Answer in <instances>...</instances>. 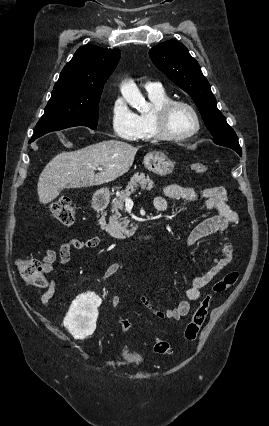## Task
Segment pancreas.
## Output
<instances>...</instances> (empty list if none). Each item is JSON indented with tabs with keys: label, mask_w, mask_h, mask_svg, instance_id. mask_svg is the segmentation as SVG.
Here are the masks:
<instances>
[{
	"label": "pancreas",
	"mask_w": 269,
	"mask_h": 426,
	"mask_svg": "<svg viewBox=\"0 0 269 426\" xmlns=\"http://www.w3.org/2000/svg\"><path fill=\"white\" fill-rule=\"evenodd\" d=\"M140 186L143 190H151L154 186L153 181L149 176L145 177L144 173L135 174L130 179L125 190L122 191L116 198L112 201V216L109 219V223L106 226V231L115 238L124 239L126 237H131L135 233V226L130 225V220L128 217H122V211H125V198L131 196ZM122 217V218H121Z\"/></svg>",
	"instance_id": "pancreas-1"
}]
</instances>
